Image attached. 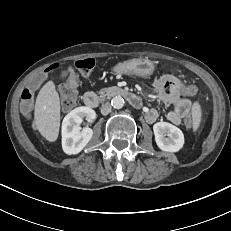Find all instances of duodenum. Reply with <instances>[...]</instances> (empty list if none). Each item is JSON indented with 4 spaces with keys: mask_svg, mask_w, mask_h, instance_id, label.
<instances>
[{
    "mask_svg": "<svg viewBox=\"0 0 231 231\" xmlns=\"http://www.w3.org/2000/svg\"><path fill=\"white\" fill-rule=\"evenodd\" d=\"M124 97L133 107L141 108L142 107V100L141 98L136 95L135 93L131 92L128 89L112 86L108 87L103 91V97L110 98V97ZM83 100L86 106L90 108H96L100 103V97L94 92H86L83 96Z\"/></svg>",
    "mask_w": 231,
    "mask_h": 231,
    "instance_id": "1",
    "label": "duodenum"
}]
</instances>
